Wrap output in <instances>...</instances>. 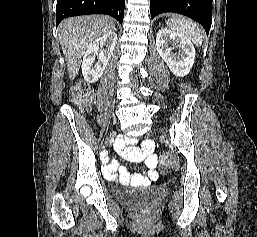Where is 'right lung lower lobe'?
Instances as JSON below:
<instances>
[{
    "instance_id": "1",
    "label": "right lung lower lobe",
    "mask_w": 257,
    "mask_h": 237,
    "mask_svg": "<svg viewBox=\"0 0 257 237\" xmlns=\"http://www.w3.org/2000/svg\"><path fill=\"white\" fill-rule=\"evenodd\" d=\"M125 0H57L56 24L78 15L107 14L120 23L124 17Z\"/></svg>"
}]
</instances>
